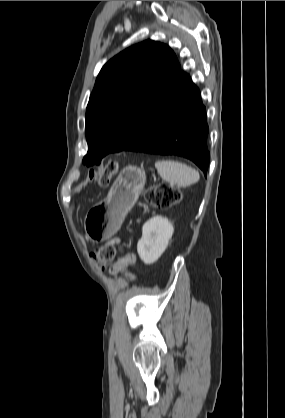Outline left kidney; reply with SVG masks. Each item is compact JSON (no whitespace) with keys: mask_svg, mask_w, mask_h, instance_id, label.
<instances>
[{"mask_svg":"<svg viewBox=\"0 0 285 418\" xmlns=\"http://www.w3.org/2000/svg\"><path fill=\"white\" fill-rule=\"evenodd\" d=\"M174 232L172 223L160 215L146 221L142 227V237L137 243L141 260L149 265L156 262L166 250Z\"/></svg>","mask_w":285,"mask_h":418,"instance_id":"5707ae66","label":"left kidney"}]
</instances>
